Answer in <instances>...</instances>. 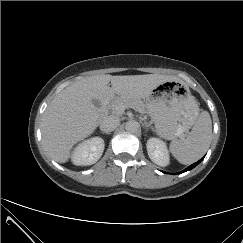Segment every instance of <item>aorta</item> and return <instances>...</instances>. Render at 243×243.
Instances as JSON below:
<instances>
[{
  "mask_svg": "<svg viewBox=\"0 0 243 243\" xmlns=\"http://www.w3.org/2000/svg\"><path fill=\"white\" fill-rule=\"evenodd\" d=\"M138 128H139V123L135 120H129L125 124V129L128 132H135L138 130Z\"/></svg>",
  "mask_w": 243,
  "mask_h": 243,
  "instance_id": "1",
  "label": "aorta"
}]
</instances>
